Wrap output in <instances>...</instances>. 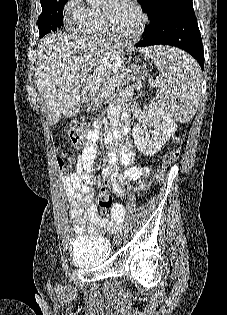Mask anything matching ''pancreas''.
Returning <instances> with one entry per match:
<instances>
[{
  "label": "pancreas",
  "mask_w": 227,
  "mask_h": 315,
  "mask_svg": "<svg viewBox=\"0 0 227 315\" xmlns=\"http://www.w3.org/2000/svg\"><path fill=\"white\" fill-rule=\"evenodd\" d=\"M143 74H147L145 66L133 65L119 73L121 77L114 86L111 85V81L115 76H105L103 78L97 76L90 77L88 79L87 88L91 105H100L104 99L103 93L108 89H111V93H113L115 88L119 90L130 81L139 80ZM89 81L91 82L90 84Z\"/></svg>",
  "instance_id": "obj_1"
}]
</instances>
